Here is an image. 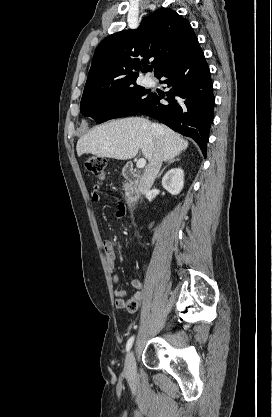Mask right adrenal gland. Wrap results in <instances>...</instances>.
Instances as JSON below:
<instances>
[{"mask_svg": "<svg viewBox=\"0 0 272 417\" xmlns=\"http://www.w3.org/2000/svg\"><path fill=\"white\" fill-rule=\"evenodd\" d=\"M179 160H180L179 158H176V159H170V160H168L167 165H166V166H164V167H163V169L159 172V174L157 175V178H159V177L162 175V173L164 172V170L166 169V167H167L168 165H170V164H172V163H174V162H176V161H179Z\"/></svg>", "mask_w": 272, "mask_h": 417, "instance_id": "obj_1", "label": "right adrenal gland"}]
</instances>
